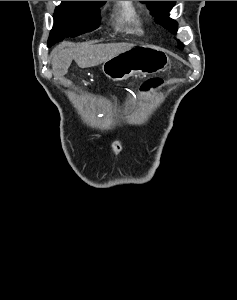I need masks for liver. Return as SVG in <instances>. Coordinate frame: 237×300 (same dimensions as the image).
Wrapping results in <instances>:
<instances>
[{
  "mask_svg": "<svg viewBox=\"0 0 237 300\" xmlns=\"http://www.w3.org/2000/svg\"><path fill=\"white\" fill-rule=\"evenodd\" d=\"M132 47H136V45H132V43H107V45L81 43L73 49H60L58 47L52 51V69L55 75H66L73 59L80 69L96 67V65H101L119 53L130 51Z\"/></svg>",
  "mask_w": 237,
  "mask_h": 300,
  "instance_id": "obj_1",
  "label": "liver"
}]
</instances>
